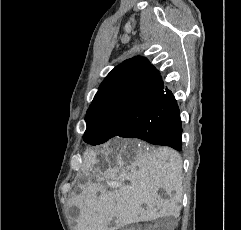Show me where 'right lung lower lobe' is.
I'll return each instance as SVG.
<instances>
[{
	"label": "right lung lower lobe",
	"mask_w": 241,
	"mask_h": 230,
	"mask_svg": "<svg viewBox=\"0 0 241 230\" xmlns=\"http://www.w3.org/2000/svg\"><path fill=\"white\" fill-rule=\"evenodd\" d=\"M146 124L135 131L134 138H139L154 145L170 146L182 149V124L179 107L171 90L164 86L154 97L144 112Z\"/></svg>",
	"instance_id": "1"
}]
</instances>
